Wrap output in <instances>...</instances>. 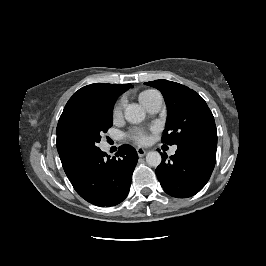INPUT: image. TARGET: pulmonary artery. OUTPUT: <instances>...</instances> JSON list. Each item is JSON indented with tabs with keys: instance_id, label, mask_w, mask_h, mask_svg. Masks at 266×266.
<instances>
[{
	"instance_id": "e3ab8cb5",
	"label": "pulmonary artery",
	"mask_w": 266,
	"mask_h": 266,
	"mask_svg": "<svg viewBox=\"0 0 266 266\" xmlns=\"http://www.w3.org/2000/svg\"><path fill=\"white\" fill-rule=\"evenodd\" d=\"M163 104V99L162 96L158 93L155 96H153L146 104L145 108L148 110L150 113H157ZM177 147L173 146L170 149V154H174L176 152Z\"/></svg>"
}]
</instances>
